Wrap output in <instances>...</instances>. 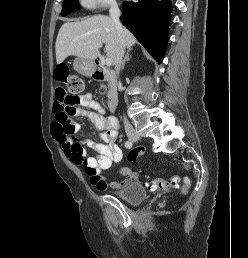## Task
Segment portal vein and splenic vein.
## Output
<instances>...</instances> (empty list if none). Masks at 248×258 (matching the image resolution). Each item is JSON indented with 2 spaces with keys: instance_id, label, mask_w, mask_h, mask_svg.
Here are the masks:
<instances>
[{
  "instance_id": "obj_1",
  "label": "portal vein and splenic vein",
  "mask_w": 248,
  "mask_h": 258,
  "mask_svg": "<svg viewBox=\"0 0 248 258\" xmlns=\"http://www.w3.org/2000/svg\"><path fill=\"white\" fill-rule=\"evenodd\" d=\"M105 64H106L107 66H111V65H112V60H111L110 58H106Z\"/></svg>"
}]
</instances>
